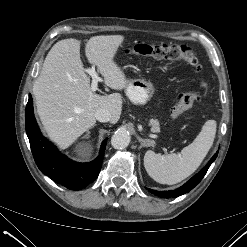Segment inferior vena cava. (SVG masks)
Wrapping results in <instances>:
<instances>
[{"label": "inferior vena cava", "mask_w": 247, "mask_h": 247, "mask_svg": "<svg viewBox=\"0 0 247 247\" xmlns=\"http://www.w3.org/2000/svg\"><path fill=\"white\" fill-rule=\"evenodd\" d=\"M111 113L106 110V109H98L95 112V118L99 121V122H109L111 121Z\"/></svg>", "instance_id": "inferior-vena-cava-1"}]
</instances>
